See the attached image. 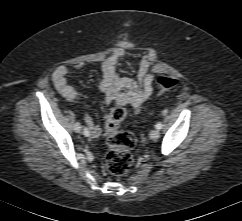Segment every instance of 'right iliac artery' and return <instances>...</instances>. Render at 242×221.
Listing matches in <instances>:
<instances>
[{
    "instance_id": "right-iliac-artery-1",
    "label": "right iliac artery",
    "mask_w": 242,
    "mask_h": 221,
    "mask_svg": "<svg viewBox=\"0 0 242 221\" xmlns=\"http://www.w3.org/2000/svg\"><path fill=\"white\" fill-rule=\"evenodd\" d=\"M83 134L87 137V136L90 135V132H89V130L87 128H84Z\"/></svg>"
}]
</instances>
